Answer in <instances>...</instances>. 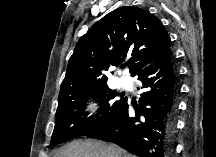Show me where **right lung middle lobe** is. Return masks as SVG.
<instances>
[{"label": "right lung middle lobe", "mask_w": 216, "mask_h": 157, "mask_svg": "<svg viewBox=\"0 0 216 157\" xmlns=\"http://www.w3.org/2000/svg\"><path fill=\"white\" fill-rule=\"evenodd\" d=\"M116 96H118L116 91L107 86L58 98L55 127L50 145L87 135L107 124L126 100L124 97L114 100ZM89 99L98 102L100 109L96 115L88 117L85 103Z\"/></svg>", "instance_id": "dd1d6c3e"}]
</instances>
